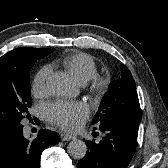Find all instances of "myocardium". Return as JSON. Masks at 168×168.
<instances>
[{"label": "myocardium", "instance_id": "obj_1", "mask_svg": "<svg viewBox=\"0 0 168 168\" xmlns=\"http://www.w3.org/2000/svg\"><path fill=\"white\" fill-rule=\"evenodd\" d=\"M109 85V80L101 75H94L89 81H88V88L91 93H93L96 96H102L106 93Z\"/></svg>", "mask_w": 168, "mask_h": 168}]
</instances>
